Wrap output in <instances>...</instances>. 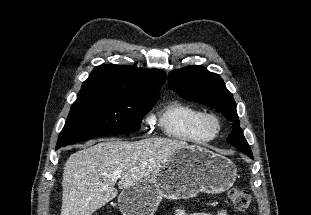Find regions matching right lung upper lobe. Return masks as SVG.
I'll use <instances>...</instances> for the list:
<instances>
[{
	"label": "right lung upper lobe",
	"instance_id": "right-lung-upper-lobe-1",
	"mask_svg": "<svg viewBox=\"0 0 311 215\" xmlns=\"http://www.w3.org/2000/svg\"><path fill=\"white\" fill-rule=\"evenodd\" d=\"M166 80L160 69H143L126 65L95 67L81 86V91H105L136 97H159Z\"/></svg>",
	"mask_w": 311,
	"mask_h": 215
}]
</instances>
